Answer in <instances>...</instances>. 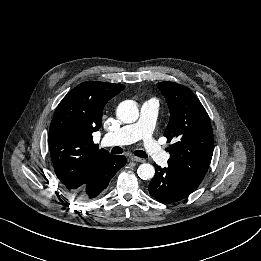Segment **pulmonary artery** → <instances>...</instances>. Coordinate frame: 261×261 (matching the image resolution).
I'll use <instances>...</instances> for the list:
<instances>
[{
	"label": "pulmonary artery",
	"mask_w": 261,
	"mask_h": 261,
	"mask_svg": "<svg viewBox=\"0 0 261 261\" xmlns=\"http://www.w3.org/2000/svg\"><path fill=\"white\" fill-rule=\"evenodd\" d=\"M157 112L158 106L155 100L145 101L141 106V114L138 122L106 134L103 138V144L126 145L142 140L144 148L153 161L161 166L166 165L169 155L161 149L153 137Z\"/></svg>",
	"instance_id": "e3ab8cb5"
}]
</instances>
